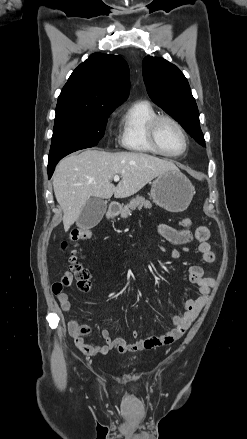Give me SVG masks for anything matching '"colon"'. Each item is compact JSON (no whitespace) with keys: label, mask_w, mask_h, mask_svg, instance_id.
I'll return each mask as SVG.
<instances>
[{"label":"colon","mask_w":247,"mask_h":439,"mask_svg":"<svg viewBox=\"0 0 247 439\" xmlns=\"http://www.w3.org/2000/svg\"><path fill=\"white\" fill-rule=\"evenodd\" d=\"M183 227H190L192 221L189 218H185L181 221ZM91 238V232L85 228H74L69 238L63 242L62 248L69 251V270L74 276L77 287L81 291H88L91 287V274L90 271L84 267L77 257L76 248L80 243L86 242Z\"/></svg>","instance_id":"colon-1"}]
</instances>
